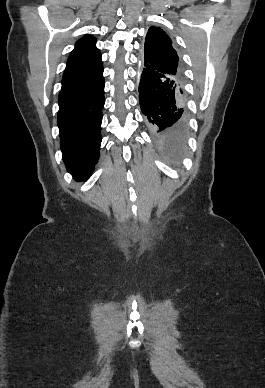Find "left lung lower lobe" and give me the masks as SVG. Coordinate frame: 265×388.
Instances as JSON below:
<instances>
[{
  "label": "left lung lower lobe",
  "instance_id": "obj_1",
  "mask_svg": "<svg viewBox=\"0 0 265 388\" xmlns=\"http://www.w3.org/2000/svg\"><path fill=\"white\" fill-rule=\"evenodd\" d=\"M179 81L151 68H142L139 103L153 139L177 161L185 143L187 115Z\"/></svg>",
  "mask_w": 265,
  "mask_h": 388
}]
</instances>
